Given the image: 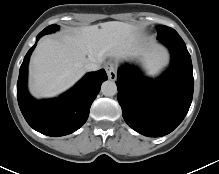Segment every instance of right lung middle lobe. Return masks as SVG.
Returning <instances> with one entry per match:
<instances>
[{"instance_id":"right-lung-middle-lobe-1","label":"right lung middle lobe","mask_w":219,"mask_h":174,"mask_svg":"<svg viewBox=\"0 0 219 174\" xmlns=\"http://www.w3.org/2000/svg\"><path fill=\"white\" fill-rule=\"evenodd\" d=\"M58 26L56 24H53V25H50L48 27H46L43 31H41L39 34L40 35H45V34H48V33H51V32H54L56 30H58Z\"/></svg>"}]
</instances>
